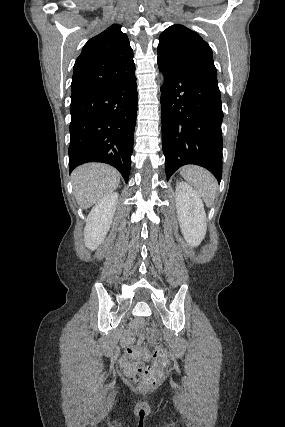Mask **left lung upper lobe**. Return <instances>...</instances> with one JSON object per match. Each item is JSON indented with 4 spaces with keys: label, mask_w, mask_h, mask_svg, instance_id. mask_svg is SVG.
Returning <instances> with one entry per match:
<instances>
[{
    "label": "left lung upper lobe",
    "mask_w": 285,
    "mask_h": 427,
    "mask_svg": "<svg viewBox=\"0 0 285 427\" xmlns=\"http://www.w3.org/2000/svg\"><path fill=\"white\" fill-rule=\"evenodd\" d=\"M158 60L171 67L202 71L217 77L210 46L196 32L180 24L161 33Z\"/></svg>",
    "instance_id": "1"
}]
</instances>
